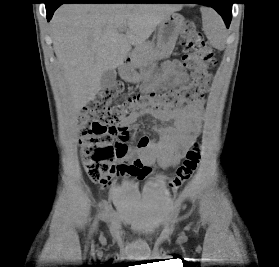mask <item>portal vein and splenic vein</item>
Returning <instances> with one entry per match:
<instances>
[{
	"instance_id": "portal-vein-and-splenic-vein-1",
	"label": "portal vein and splenic vein",
	"mask_w": 279,
	"mask_h": 267,
	"mask_svg": "<svg viewBox=\"0 0 279 267\" xmlns=\"http://www.w3.org/2000/svg\"><path fill=\"white\" fill-rule=\"evenodd\" d=\"M119 31H120V32H124V31H125V28H120Z\"/></svg>"
}]
</instances>
